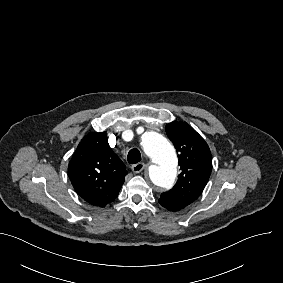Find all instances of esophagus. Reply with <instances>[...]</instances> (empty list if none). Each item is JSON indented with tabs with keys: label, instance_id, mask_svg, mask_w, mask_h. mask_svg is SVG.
<instances>
[{
	"label": "esophagus",
	"instance_id": "esophagus-1",
	"mask_svg": "<svg viewBox=\"0 0 283 283\" xmlns=\"http://www.w3.org/2000/svg\"><path fill=\"white\" fill-rule=\"evenodd\" d=\"M145 167H146V164H145V163H136V164L132 165L131 170H132L134 173H139V172H141Z\"/></svg>",
	"mask_w": 283,
	"mask_h": 283
}]
</instances>
